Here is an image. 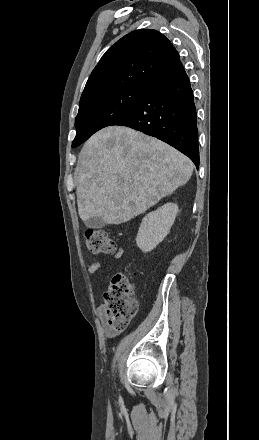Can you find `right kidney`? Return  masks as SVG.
<instances>
[{
  "instance_id": "obj_1",
  "label": "right kidney",
  "mask_w": 259,
  "mask_h": 440,
  "mask_svg": "<svg viewBox=\"0 0 259 440\" xmlns=\"http://www.w3.org/2000/svg\"><path fill=\"white\" fill-rule=\"evenodd\" d=\"M177 212L176 203H166L143 218L136 237V244L142 252L152 251L164 240L175 221Z\"/></svg>"
}]
</instances>
